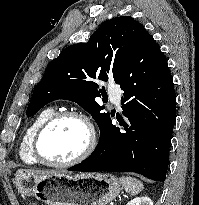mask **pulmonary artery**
Wrapping results in <instances>:
<instances>
[{
  "label": "pulmonary artery",
  "instance_id": "obj_1",
  "mask_svg": "<svg viewBox=\"0 0 199 205\" xmlns=\"http://www.w3.org/2000/svg\"><path fill=\"white\" fill-rule=\"evenodd\" d=\"M109 94L111 101L116 105H120V99H121V90L119 88H110Z\"/></svg>",
  "mask_w": 199,
  "mask_h": 205
}]
</instances>
